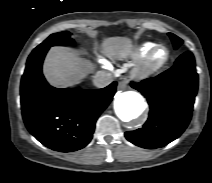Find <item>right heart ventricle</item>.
I'll use <instances>...</instances> for the list:
<instances>
[{
	"mask_svg": "<svg viewBox=\"0 0 212 183\" xmlns=\"http://www.w3.org/2000/svg\"><path fill=\"white\" fill-rule=\"evenodd\" d=\"M155 45L154 42H145L141 44L135 51V58L141 59L146 53H148Z\"/></svg>",
	"mask_w": 212,
	"mask_h": 183,
	"instance_id": "right-heart-ventricle-1",
	"label": "right heart ventricle"
}]
</instances>
